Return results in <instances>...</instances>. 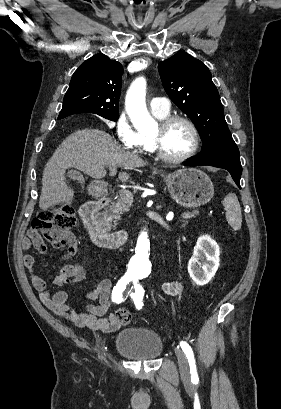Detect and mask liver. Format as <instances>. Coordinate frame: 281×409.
Masks as SVG:
<instances>
[{
	"label": "liver",
	"mask_w": 281,
	"mask_h": 409,
	"mask_svg": "<svg viewBox=\"0 0 281 409\" xmlns=\"http://www.w3.org/2000/svg\"><path fill=\"white\" fill-rule=\"evenodd\" d=\"M146 162L134 152H126L119 148L116 140L98 128L75 130L59 144L49 158L42 176V192L39 207L47 211L62 200H71L73 188L66 184V168H78L92 178H103L106 174L104 166L109 168H135L145 166ZM118 178L127 182L130 174L119 172Z\"/></svg>",
	"instance_id": "1"
}]
</instances>
